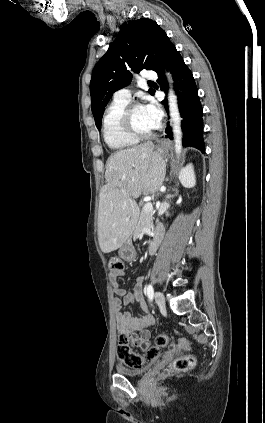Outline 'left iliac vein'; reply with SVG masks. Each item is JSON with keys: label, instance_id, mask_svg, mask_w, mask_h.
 I'll return each mask as SVG.
<instances>
[{"label": "left iliac vein", "instance_id": "obj_1", "mask_svg": "<svg viewBox=\"0 0 265 423\" xmlns=\"http://www.w3.org/2000/svg\"><path fill=\"white\" fill-rule=\"evenodd\" d=\"M154 298L160 308H165V297L161 292H155Z\"/></svg>", "mask_w": 265, "mask_h": 423}]
</instances>
